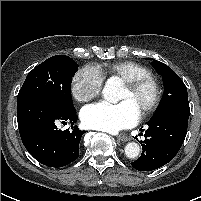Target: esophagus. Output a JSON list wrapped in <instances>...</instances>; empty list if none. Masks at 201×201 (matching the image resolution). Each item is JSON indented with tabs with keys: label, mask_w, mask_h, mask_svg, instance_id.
Returning <instances> with one entry per match:
<instances>
[{
	"label": "esophagus",
	"mask_w": 201,
	"mask_h": 201,
	"mask_svg": "<svg viewBox=\"0 0 201 201\" xmlns=\"http://www.w3.org/2000/svg\"><path fill=\"white\" fill-rule=\"evenodd\" d=\"M118 141H121V142H126V141H129L130 140V137L128 136H124V135H119L117 137Z\"/></svg>",
	"instance_id": "esophagus-1"
}]
</instances>
